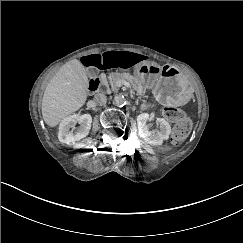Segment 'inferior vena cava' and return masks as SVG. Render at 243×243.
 I'll list each match as a JSON object with an SVG mask.
<instances>
[{"instance_id":"602c4592","label":"inferior vena cava","mask_w":243,"mask_h":243,"mask_svg":"<svg viewBox=\"0 0 243 243\" xmlns=\"http://www.w3.org/2000/svg\"><path fill=\"white\" fill-rule=\"evenodd\" d=\"M93 100L97 105H104L106 103L107 97L102 93H98L94 96Z\"/></svg>"}]
</instances>
